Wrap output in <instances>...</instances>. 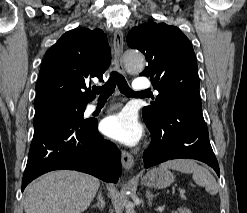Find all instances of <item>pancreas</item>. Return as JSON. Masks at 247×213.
<instances>
[{
	"label": "pancreas",
	"instance_id": "1",
	"mask_svg": "<svg viewBox=\"0 0 247 213\" xmlns=\"http://www.w3.org/2000/svg\"><path fill=\"white\" fill-rule=\"evenodd\" d=\"M183 199H186V197L182 196Z\"/></svg>",
	"mask_w": 247,
	"mask_h": 213
}]
</instances>
